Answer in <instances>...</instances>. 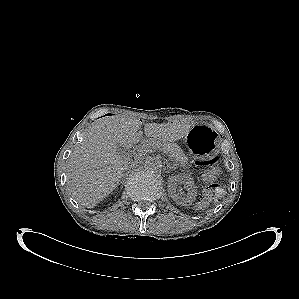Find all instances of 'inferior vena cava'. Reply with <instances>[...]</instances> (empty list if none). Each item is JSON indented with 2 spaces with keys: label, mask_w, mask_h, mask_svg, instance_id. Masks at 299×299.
Instances as JSON below:
<instances>
[{
  "label": "inferior vena cava",
  "mask_w": 299,
  "mask_h": 299,
  "mask_svg": "<svg viewBox=\"0 0 299 299\" xmlns=\"http://www.w3.org/2000/svg\"><path fill=\"white\" fill-rule=\"evenodd\" d=\"M137 164H138V161H137V160H134V161H132V162H129L128 167L133 168V167H135V165H137Z\"/></svg>",
  "instance_id": "602c4592"
}]
</instances>
